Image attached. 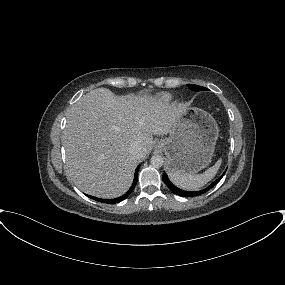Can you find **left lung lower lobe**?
Returning a JSON list of instances; mask_svg holds the SVG:
<instances>
[{
  "instance_id": "left-lung-lower-lobe-1",
  "label": "left lung lower lobe",
  "mask_w": 285,
  "mask_h": 285,
  "mask_svg": "<svg viewBox=\"0 0 285 285\" xmlns=\"http://www.w3.org/2000/svg\"><path fill=\"white\" fill-rule=\"evenodd\" d=\"M223 175L220 178H218L216 181H214L212 184H210L207 188H205L201 191H184V190L177 188L176 186H174L170 182L166 173H164L162 175V180L174 194H177V195L182 196V197H192V196H197V195H200V194L207 192L209 189H211L213 186H215L221 180Z\"/></svg>"
}]
</instances>
